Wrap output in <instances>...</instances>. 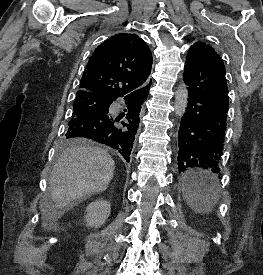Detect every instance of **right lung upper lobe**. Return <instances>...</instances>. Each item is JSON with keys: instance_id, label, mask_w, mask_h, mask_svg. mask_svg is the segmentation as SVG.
Wrapping results in <instances>:
<instances>
[{"instance_id": "obj_1", "label": "right lung upper lobe", "mask_w": 263, "mask_h": 275, "mask_svg": "<svg viewBox=\"0 0 263 275\" xmlns=\"http://www.w3.org/2000/svg\"><path fill=\"white\" fill-rule=\"evenodd\" d=\"M151 66V51L138 35L116 34L95 49L76 96L93 94L112 101L131 92L128 97L144 88Z\"/></svg>"}]
</instances>
